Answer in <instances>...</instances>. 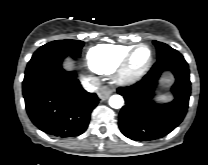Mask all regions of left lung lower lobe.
Masks as SVG:
<instances>
[{"label": "left lung lower lobe", "mask_w": 208, "mask_h": 165, "mask_svg": "<svg viewBox=\"0 0 208 165\" xmlns=\"http://www.w3.org/2000/svg\"><path fill=\"white\" fill-rule=\"evenodd\" d=\"M165 70H170L175 76L171 88L174 99L158 104L154 101V91ZM117 92L125 99L118 122L121 132L135 141L161 138L174 130L187 113L191 94L188 64L178 51L167 53L157 59L140 81L119 87Z\"/></svg>", "instance_id": "obj_1"}]
</instances>
